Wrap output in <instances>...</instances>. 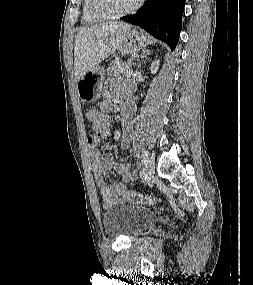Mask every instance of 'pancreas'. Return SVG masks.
<instances>
[{
	"instance_id": "pancreas-1",
	"label": "pancreas",
	"mask_w": 253,
	"mask_h": 285,
	"mask_svg": "<svg viewBox=\"0 0 253 285\" xmlns=\"http://www.w3.org/2000/svg\"><path fill=\"white\" fill-rule=\"evenodd\" d=\"M131 67H132L131 61H128L126 63L114 62L107 69V74L115 77L126 76L127 72L131 70Z\"/></svg>"
}]
</instances>
